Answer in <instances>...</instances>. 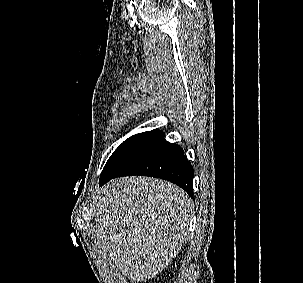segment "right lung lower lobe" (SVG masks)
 Here are the masks:
<instances>
[{
    "instance_id": "right-lung-lower-lobe-1",
    "label": "right lung lower lobe",
    "mask_w": 303,
    "mask_h": 283,
    "mask_svg": "<svg viewBox=\"0 0 303 283\" xmlns=\"http://www.w3.org/2000/svg\"><path fill=\"white\" fill-rule=\"evenodd\" d=\"M150 176L170 181L192 196L193 167L180 146L159 130L144 132L106 174L99 185L122 176Z\"/></svg>"
}]
</instances>
